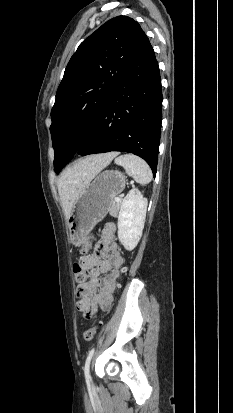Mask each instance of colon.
<instances>
[{
	"label": "colon",
	"mask_w": 233,
	"mask_h": 413,
	"mask_svg": "<svg viewBox=\"0 0 233 413\" xmlns=\"http://www.w3.org/2000/svg\"><path fill=\"white\" fill-rule=\"evenodd\" d=\"M92 249V244L90 241L85 242L81 249L82 254L88 253ZM74 273H75V278L76 281L79 284L85 283L88 278H89V271L87 268H85L80 262H77L74 264ZM97 332V326H92L85 330L83 334V338L85 341H91L94 339L95 335Z\"/></svg>",
	"instance_id": "5ec220e1"
}]
</instances>
